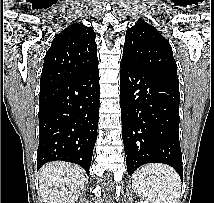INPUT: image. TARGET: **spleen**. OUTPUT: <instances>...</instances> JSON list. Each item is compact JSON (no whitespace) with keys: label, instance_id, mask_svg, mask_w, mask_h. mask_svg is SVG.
<instances>
[{"label":"spleen","instance_id":"1","mask_svg":"<svg viewBox=\"0 0 214 203\" xmlns=\"http://www.w3.org/2000/svg\"><path fill=\"white\" fill-rule=\"evenodd\" d=\"M132 186L147 203H180L181 180L169 166L149 164L141 167L133 176Z\"/></svg>","mask_w":214,"mask_h":203}]
</instances>
